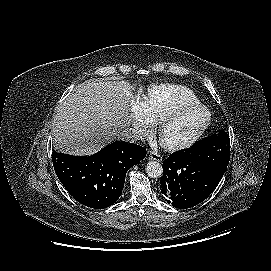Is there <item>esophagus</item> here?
Segmentation results:
<instances>
[{
	"label": "esophagus",
	"mask_w": 271,
	"mask_h": 271,
	"mask_svg": "<svg viewBox=\"0 0 271 271\" xmlns=\"http://www.w3.org/2000/svg\"><path fill=\"white\" fill-rule=\"evenodd\" d=\"M148 159L161 162L162 156L157 152H150Z\"/></svg>",
	"instance_id": "obj_1"
}]
</instances>
